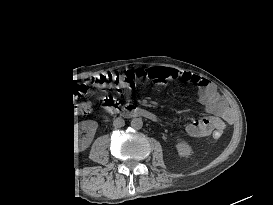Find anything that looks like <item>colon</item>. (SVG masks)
I'll use <instances>...</instances> for the list:
<instances>
[{
    "instance_id": "colon-1",
    "label": "colon",
    "mask_w": 273,
    "mask_h": 205,
    "mask_svg": "<svg viewBox=\"0 0 273 205\" xmlns=\"http://www.w3.org/2000/svg\"><path fill=\"white\" fill-rule=\"evenodd\" d=\"M147 77V71L144 69H138L136 71H130L124 74H108L99 75L91 79L90 84L93 88L118 91L121 92L127 87L133 86L137 81L143 80ZM155 77V76H153ZM154 83L165 82L163 77L152 78ZM70 112L73 114H86L89 111V104L84 101L73 103L70 107ZM215 138L221 137L220 131L214 132Z\"/></svg>"
}]
</instances>
